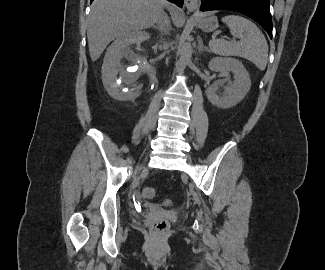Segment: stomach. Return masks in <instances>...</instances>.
Here are the masks:
<instances>
[{"label": "stomach", "instance_id": "stomach-1", "mask_svg": "<svg viewBox=\"0 0 325 270\" xmlns=\"http://www.w3.org/2000/svg\"><path fill=\"white\" fill-rule=\"evenodd\" d=\"M198 26L205 32H212L218 28V20L214 15H205L199 18Z\"/></svg>", "mask_w": 325, "mask_h": 270}]
</instances>
